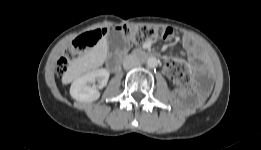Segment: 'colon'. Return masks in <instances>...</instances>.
<instances>
[{
	"label": "colon",
	"mask_w": 261,
	"mask_h": 150,
	"mask_svg": "<svg viewBox=\"0 0 261 150\" xmlns=\"http://www.w3.org/2000/svg\"><path fill=\"white\" fill-rule=\"evenodd\" d=\"M124 37L132 43H141L152 39L173 40L175 31L172 28L159 26H130L121 28ZM107 33V29H94L76 38L67 49L65 55L60 58L56 66V73L64 76L71 61L79 57L85 50L96 45ZM167 76L177 85L183 86L188 82V71L178 61L166 64Z\"/></svg>",
	"instance_id": "5ec220e1"
}]
</instances>
